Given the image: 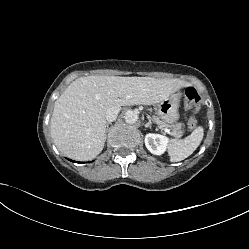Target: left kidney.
Listing matches in <instances>:
<instances>
[{
  "label": "left kidney",
  "mask_w": 249,
  "mask_h": 249,
  "mask_svg": "<svg viewBox=\"0 0 249 249\" xmlns=\"http://www.w3.org/2000/svg\"><path fill=\"white\" fill-rule=\"evenodd\" d=\"M169 142V138L160 134L148 133L145 136V146L154 155L164 154Z\"/></svg>",
  "instance_id": "obj_1"
}]
</instances>
